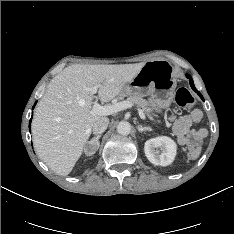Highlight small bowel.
I'll use <instances>...</instances> for the list:
<instances>
[{
  "instance_id": "obj_1",
  "label": "small bowel",
  "mask_w": 234,
  "mask_h": 234,
  "mask_svg": "<svg viewBox=\"0 0 234 234\" xmlns=\"http://www.w3.org/2000/svg\"><path fill=\"white\" fill-rule=\"evenodd\" d=\"M202 112L194 109L191 113L183 116H172L173 129L178 142L182 146L192 145L201 142L207 136L205 128H194L202 119Z\"/></svg>"
}]
</instances>
